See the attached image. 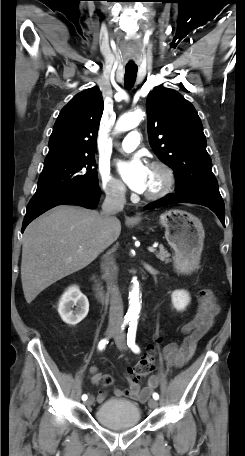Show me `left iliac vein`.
Listing matches in <instances>:
<instances>
[{
	"label": "left iliac vein",
	"mask_w": 245,
	"mask_h": 456,
	"mask_svg": "<svg viewBox=\"0 0 245 456\" xmlns=\"http://www.w3.org/2000/svg\"><path fill=\"white\" fill-rule=\"evenodd\" d=\"M114 340H115V343H116L117 347L120 350H126L127 349V345H126V342H125V335H124L123 332H117L114 335ZM148 405H149V407L151 409H156L158 407V402L155 399H150L149 402H148Z\"/></svg>",
	"instance_id": "obj_1"
}]
</instances>
